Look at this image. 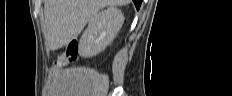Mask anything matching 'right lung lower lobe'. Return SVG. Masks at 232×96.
Segmentation results:
<instances>
[{"label": "right lung lower lobe", "instance_id": "right-lung-lower-lobe-1", "mask_svg": "<svg viewBox=\"0 0 232 96\" xmlns=\"http://www.w3.org/2000/svg\"><path fill=\"white\" fill-rule=\"evenodd\" d=\"M133 2H134V4H135V6H136V8H137V10L140 8V5H141V3H142V0H133Z\"/></svg>", "mask_w": 232, "mask_h": 96}]
</instances>
